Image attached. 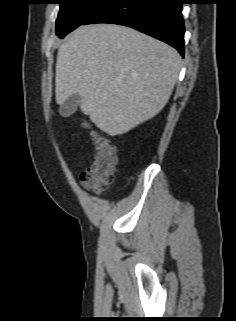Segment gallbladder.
<instances>
[{
  "label": "gallbladder",
  "mask_w": 236,
  "mask_h": 321,
  "mask_svg": "<svg viewBox=\"0 0 236 321\" xmlns=\"http://www.w3.org/2000/svg\"><path fill=\"white\" fill-rule=\"evenodd\" d=\"M81 100V97L78 94H72L70 95L63 104L60 105L59 107V113L62 117H69L70 115H72L78 105L79 102Z\"/></svg>",
  "instance_id": "gallbladder-1"
}]
</instances>
